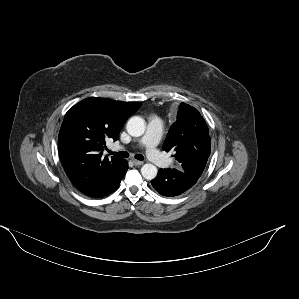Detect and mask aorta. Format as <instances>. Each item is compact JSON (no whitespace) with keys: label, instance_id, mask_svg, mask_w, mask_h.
<instances>
[{"label":"aorta","instance_id":"762f6f07","mask_svg":"<svg viewBox=\"0 0 299 299\" xmlns=\"http://www.w3.org/2000/svg\"><path fill=\"white\" fill-rule=\"evenodd\" d=\"M127 132L133 137L142 136L145 132L146 125L144 119L134 116L129 119L126 126ZM157 168L153 164L147 163L141 167V174L147 180H152L157 176Z\"/></svg>","mask_w":299,"mask_h":299}]
</instances>
